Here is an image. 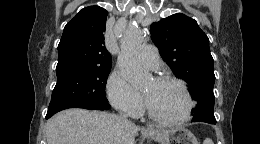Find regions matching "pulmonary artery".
<instances>
[{
  "label": "pulmonary artery",
  "mask_w": 260,
  "mask_h": 144,
  "mask_svg": "<svg viewBox=\"0 0 260 144\" xmlns=\"http://www.w3.org/2000/svg\"><path fill=\"white\" fill-rule=\"evenodd\" d=\"M140 63L149 70H158L160 66V58L157 49L152 46H146L139 55Z\"/></svg>",
  "instance_id": "e3ab8cb5"
}]
</instances>
